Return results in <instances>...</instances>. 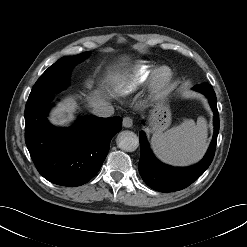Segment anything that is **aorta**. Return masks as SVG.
Returning <instances> with one entry per match:
<instances>
[{
	"label": "aorta",
	"mask_w": 247,
	"mask_h": 247,
	"mask_svg": "<svg viewBox=\"0 0 247 247\" xmlns=\"http://www.w3.org/2000/svg\"><path fill=\"white\" fill-rule=\"evenodd\" d=\"M117 145L121 150L132 152L139 146V138L132 131H122L117 136Z\"/></svg>",
	"instance_id": "obj_1"
}]
</instances>
